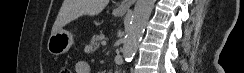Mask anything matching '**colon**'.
Wrapping results in <instances>:
<instances>
[{"mask_svg":"<svg viewBox=\"0 0 244 73\" xmlns=\"http://www.w3.org/2000/svg\"><path fill=\"white\" fill-rule=\"evenodd\" d=\"M61 73H71V70H70V68H68V67H64V68L61 70Z\"/></svg>","mask_w":244,"mask_h":73,"instance_id":"obj_1","label":"colon"}]
</instances>
